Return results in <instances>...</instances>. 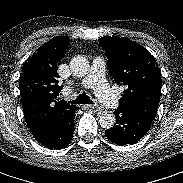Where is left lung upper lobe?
<instances>
[{
  "label": "left lung upper lobe",
  "mask_w": 183,
  "mask_h": 183,
  "mask_svg": "<svg viewBox=\"0 0 183 183\" xmlns=\"http://www.w3.org/2000/svg\"><path fill=\"white\" fill-rule=\"evenodd\" d=\"M107 66L115 83L124 85L120 110L153 121L161 94V71L154 57L140 44L125 37H102Z\"/></svg>",
  "instance_id": "5c2ea615"
}]
</instances>
